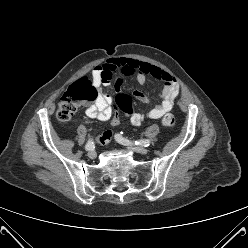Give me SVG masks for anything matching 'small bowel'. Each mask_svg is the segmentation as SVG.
I'll return each instance as SVG.
<instances>
[{
    "label": "small bowel",
    "mask_w": 248,
    "mask_h": 248,
    "mask_svg": "<svg viewBox=\"0 0 248 248\" xmlns=\"http://www.w3.org/2000/svg\"><path fill=\"white\" fill-rule=\"evenodd\" d=\"M118 74L124 76H134L135 80L145 85L148 77H152L164 84V87L159 95L160 102L149 109L147 114L134 113L130 117V122L133 126H141L146 118L160 119L168 113L175 103L179 95L180 85L178 80L171 73L148 63L140 62L134 59L127 58H111L106 62L97 65L92 71L93 82L95 86L107 85L112 78ZM120 80H116L115 86L119 88ZM133 95L136 100L149 103V97L141 90H135ZM110 96L99 93L93 104L88 106L85 113L88 118L106 121L111 117Z\"/></svg>",
    "instance_id": "obj_1"
}]
</instances>
